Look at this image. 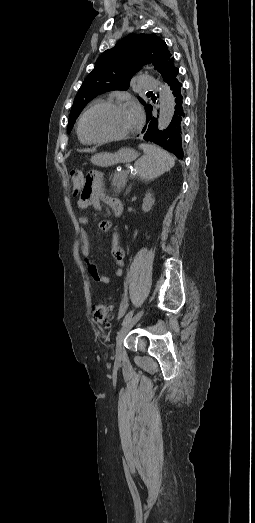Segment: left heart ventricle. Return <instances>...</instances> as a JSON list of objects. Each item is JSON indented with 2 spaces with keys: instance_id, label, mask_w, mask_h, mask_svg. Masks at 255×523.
I'll list each match as a JSON object with an SVG mask.
<instances>
[{
  "instance_id": "b2bd125f",
  "label": "left heart ventricle",
  "mask_w": 255,
  "mask_h": 523,
  "mask_svg": "<svg viewBox=\"0 0 255 523\" xmlns=\"http://www.w3.org/2000/svg\"><path fill=\"white\" fill-rule=\"evenodd\" d=\"M138 115L132 105L101 106L90 111L83 122L85 137L102 139L132 131Z\"/></svg>"
}]
</instances>
